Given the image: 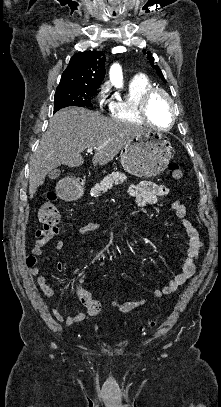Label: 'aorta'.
Returning <instances> with one entry per match:
<instances>
[{"instance_id": "762f6f07", "label": "aorta", "mask_w": 221, "mask_h": 407, "mask_svg": "<svg viewBox=\"0 0 221 407\" xmlns=\"http://www.w3.org/2000/svg\"><path fill=\"white\" fill-rule=\"evenodd\" d=\"M109 75H110V81L115 87H117V88L122 87L123 75H122V69L119 66V64L112 65V67L110 68Z\"/></svg>"}]
</instances>
